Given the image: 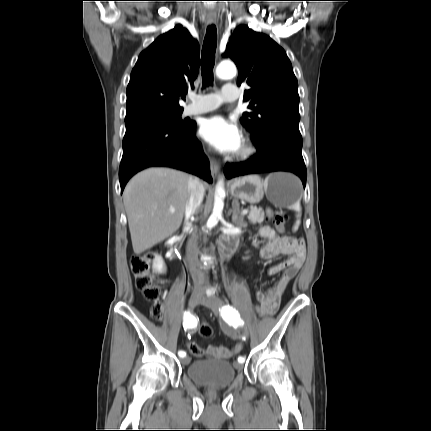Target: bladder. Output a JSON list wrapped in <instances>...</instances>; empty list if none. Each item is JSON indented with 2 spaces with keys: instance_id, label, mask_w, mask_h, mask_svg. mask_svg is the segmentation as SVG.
<instances>
[{
  "instance_id": "31cf9c89",
  "label": "bladder",
  "mask_w": 431,
  "mask_h": 431,
  "mask_svg": "<svg viewBox=\"0 0 431 431\" xmlns=\"http://www.w3.org/2000/svg\"><path fill=\"white\" fill-rule=\"evenodd\" d=\"M236 374L234 365L222 359L196 360L187 368V375L194 383L211 389L231 385L236 379Z\"/></svg>"
}]
</instances>
